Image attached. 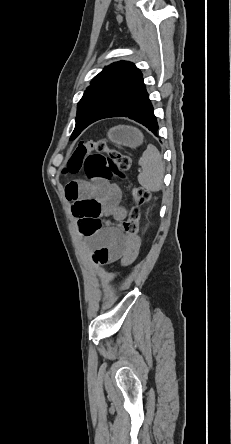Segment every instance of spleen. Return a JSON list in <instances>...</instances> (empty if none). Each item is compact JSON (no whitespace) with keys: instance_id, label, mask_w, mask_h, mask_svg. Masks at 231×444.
I'll use <instances>...</instances> for the list:
<instances>
[{"instance_id":"1","label":"spleen","mask_w":231,"mask_h":444,"mask_svg":"<svg viewBox=\"0 0 231 444\" xmlns=\"http://www.w3.org/2000/svg\"><path fill=\"white\" fill-rule=\"evenodd\" d=\"M142 171L138 175L139 184L148 191L157 192L163 186L164 162L158 149L149 144L139 159Z\"/></svg>"}]
</instances>
